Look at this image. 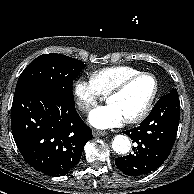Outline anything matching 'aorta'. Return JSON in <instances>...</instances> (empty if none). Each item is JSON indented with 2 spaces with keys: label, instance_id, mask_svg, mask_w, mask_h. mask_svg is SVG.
Segmentation results:
<instances>
[{
  "label": "aorta",
  "instance_id": "1",
  "mask_svg": "<svg viewBox=\"0 0 194 194\" xmlns=\"http://www.w3.org/2000/svg\"><path fill=\"white\" fill-rule=\"evenodd\" d=\"M112 148L118 154H126L131 148V142L125 135H116L112 142Z\"/></svg>",
  "mask_w": 194,
  "mask_h": 194
}]
</instances>
